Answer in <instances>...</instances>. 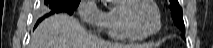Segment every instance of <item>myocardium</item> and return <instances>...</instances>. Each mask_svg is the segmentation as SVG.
<instances>
[{"label": "myocardium", "instance_id": "obj_1", "mask_svg": "<svg viewBox=\"0 0 213 48\" xmlns=\"http://www.w3.org/2000/svg\"><path fill=\"white\" fill-rule=\"evenodd\" d=\"M145 2L147 4H149L150 6H152V8L155 11L156 14V20H157V27L153 32L150 33H142L140 32L135 25L133 24L130 16H129V11L131 10V8L137 3V2ZM120 14H121V18L122 21L124 23V25L126 26V28L134 35L140 37V38H149L155 34H157L161 27H162V20H161V14L159 11L158 6L156 5V3L152 0H125V3L121 5L120 8Z\"/></svg>", "mask_w": 213, "mask_h": 48}]
</instances>
